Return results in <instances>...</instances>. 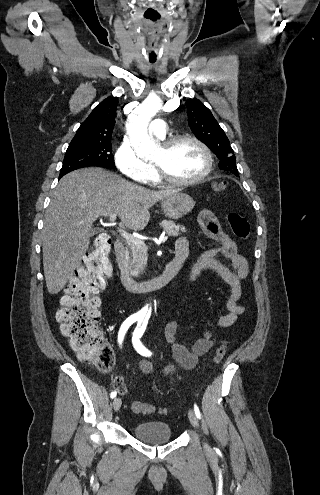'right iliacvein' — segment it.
<instances>
[{"instance_id": "obj_1", "label": "right iliac vein", "mask_w": 320, "mask_h": 495, "mask_svg": "<svg viewBox=\"0 0 320 495\" xmlns=\"http://www.w3.org/2000/svg\"><path fill=\"white\" fill-rule=\"evenodd\" d=\"M121 403H122V401H121L120 398H115L114 399V401H113V409H114L115 412H117L120 409Z\"/></svg>"}]
</instances>
